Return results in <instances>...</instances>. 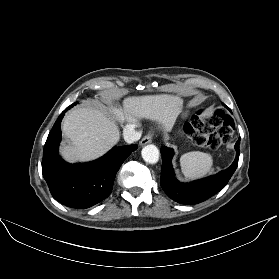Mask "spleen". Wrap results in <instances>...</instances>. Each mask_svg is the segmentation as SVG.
Here are the masks:
<instances>
[{
  "instance_id": "3e777b00",
  "label": "spleen",
  "mask_w": 279,
  "mask_h": 279,
  "mask_svg": "<svg viewBox=\"0 0 279 279\" xmlns=\"http://www.w3.org/2000/svg\"><path fill=\"white\" fill-rule=\"evenodd\" d=\"M180 165L186 178L198 179L204 177L211 171L213 159L208 153L192 151L181 156Z\"/></svg>"
}]
</instances>
